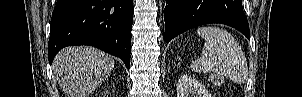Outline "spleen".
<instances>
[{
  "label": "spleen",
  "mask_w": 302,
  "mask_h": 97,
  "mask_svg": "<svg viewBox=\"0 0 302 97\" xmlns=\"http://www.w3.org/2000/svg\"><path fill=\"white\" fill-rule=\"evenodd\" d=\"M196 32L205 43L201 57L191 64L192 71L214 72L234 83H244L248 65L236 39L228 31L214 26L200 27Z\"/></svg>",
  "instance_id": "obj_1"
}]
</instances>
